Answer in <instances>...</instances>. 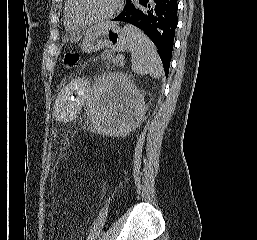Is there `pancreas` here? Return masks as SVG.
<instances>
[{
	"instance_id": "1",
	"label": "pancreas",
	"mask_w": 257,
	"mask_h": 240,
	"mask_svg": "<svg viewBox=\"0 0 257 240\" xmlns=\"http://www.w3.org/2000/svg\"><path fill=\"white\" fill-rule=\"evenodd\" d=\"M120 56L121 55H118V56L115 57L113 53L106 52V53L103 54L102 59H106V61L108 63H112L113 65H118L119 61H121V60H118V57H120Z\"/></svg>"
}]
</instances>
